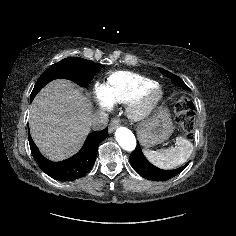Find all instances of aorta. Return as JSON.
Masks as SVG:
<instances>
[{"label":"aorta","instance_id":"obj_1","mask_svg":"<svg viewBox=\"0 0 236 236\" xmlns=\"http://www.w3.org/2000/svg\"><path fill=\"white\" fill-rule=\"evenodd\" d=\"M118 144L126 151H133L136 147V139L131 130L126 127H119L115 131Z\"/></svg>","mask_w":236,"mask_h":236}]
</instances>
